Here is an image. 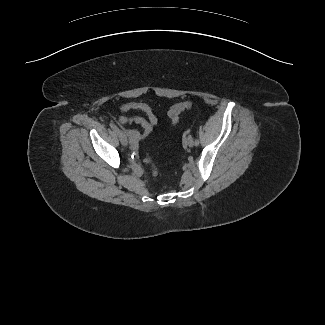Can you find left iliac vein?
Wrapping results in <instances>:
<instances>
[{"mask_svg": "<svg viewBox=\"0 0 325 325\" xmlns=\"http://www.w3.org/2000/svg\"><path fill=\"white\" fill-rule=\"evenodd\" d=\"M186 143L189 147H193L195 145V141L191 135L187 137Z\"/></svg>", "mask_w": 325, "mask_h": 325, "instance_id": "obj_1", "label": "left iliac vein"}]
</instances>
